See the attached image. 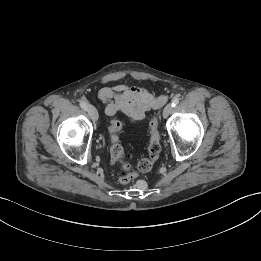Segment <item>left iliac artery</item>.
<instances>
[{"mask_svg": "<svg viewBox=\"0 0 261 261\" xmlns=\"http://www.w3.org/2000/svg\"><path fill=\"white\" fill-rule=\"evenodd\" d=\"M178 103H179V99L178 98H174L172 100V107H175Z\"/></svg>", "mask_w": 261, "mask_h": 261, "instance_id": "44dca946", "label": "left iliac artery"}]
</instances>
